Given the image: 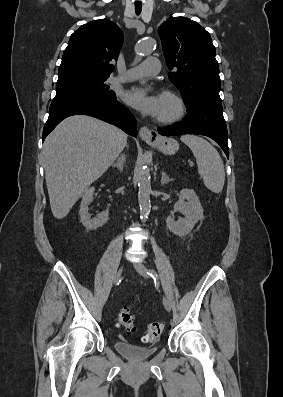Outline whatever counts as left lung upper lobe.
<instances>
[{
    "label": "left lung upper lobe",
    "mask_w": 283,
    "mask_h": 397,
    "mask_svg": "<svg viewBox=\"0 0 283 397\" xmlns=\"http://www.w3.org/2000/svg\"><path fill=\"white\" fill-rule=\"evenodd\" d=\"M171 82L181 91L187 108L222 110L221 80L210 34L197 22L170 17L158 29Z\"/></svg>",
    "instance_id": "obj_1"
}]
</instances>
